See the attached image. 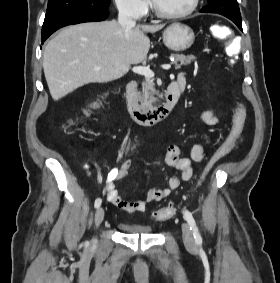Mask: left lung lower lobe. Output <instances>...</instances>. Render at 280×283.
Wrapping results in <instances>:
<instances>
[{
  "instance_id": "0a47b994",
  "label": "left lung lower lobe",
  "mask_w": 280,
  "mask_h": 283,
  "mask_svg": "<svg viewBox=\"0 0 280 283\" xmlns=\"http://www.w3.org/2000/svg\"><path fill=\"white\" fill-rule=\"evenodd\" d=\"M230 20H232V21L238 26V28H239L240 30H242V21H241V20L235 19V18H232V19H230Z\"/></svg>"
}]
</instances>
